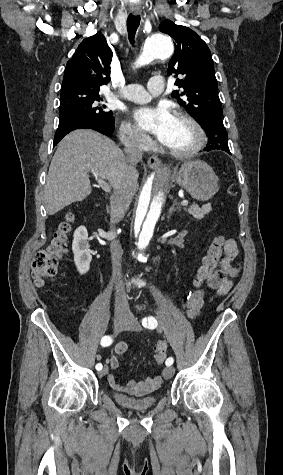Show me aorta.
Masks as SVG:
<instances>
[{"label":"aorta","instance_id":"obj_1","mask_svg":"<svg viewBox=\"0 0 283 475\" xmlns=\"http://www.w3.org/2000/svg\"><path fill=\"white\" fill-rule=\"evenodd\" d=\"M173 52L171 38L155 34L146 40L135 66L141 67L155 59L169 58ZM171 187L170 171L165 166L151 173L143 185L130 225L131 238L140 251L148 247L156 232Z\"/></svg>","mask_w":283,"mask_h":475}]
</instances>
